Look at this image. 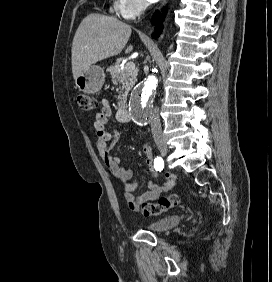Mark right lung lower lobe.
I'll list each match as a JSON object with an SVG mask.
<instances>
[{
	"mask_svg": "<svg viewBox=\"0 0 272 282\" xmlns=\"http://www.w3.org/2000/svg\"><path fill=\"white\" fill-rule=\"evenodd\" d=\"M164 13H165V11H164ZM159 18H160V12L157 11L153 16V22L158 23ZM161 19H164V14H162ZM158 26H159V30L156 34L153 35V37H158L159 34L161 33V29H162L161 23H159Z\"/></svg>",
	"mask_w": 272,
	"mask_h": 282,
	"instance_id": "1",
	"label": "right lung lower lobe"
}]
</instances>
